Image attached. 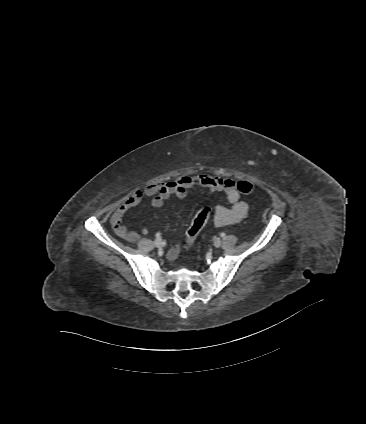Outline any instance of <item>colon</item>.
Wrapping results in <instances>:
<instances>
[{"instance_id":"obj_1","label":"colon","mask_w":366,"mask_h":424,"mask_svg":"<svg viewBox=\"0 0 366 424\" xmlns=\"http://www.w3.org/2000/svg\"><path fill=\"white\" fill-rule=\"evenodd\" d=\"M237 188L239 192L243 195H251L254 193V187L251 183L247 181H240L237 184ZM210 215V208L209 207H202L195 217L192 219L187 232H186V239L185 243L182 245V249L184 251H187L190 249L197 238L198 234L206 224L208 218Z\"/></svg>"}]
</instances>
